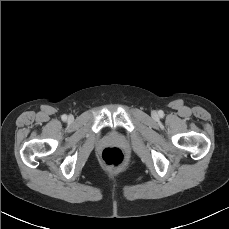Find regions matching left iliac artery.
Listing matches in <instances>:
<instances>
[{"instance_id":"1","label":"left iliac artery","mask_w":229,"mask_h":229,"mask_svg":"<svg viewBox=\"0 0 229 229\" xmlns=\"http://www.w3.org/2000/svg\"><path fill=\"white\" fill-rule=\"evenodd\" d=\"M163 115V112L162 111H160V116H162Z\"/></svg>"}]
</instances>
